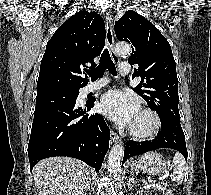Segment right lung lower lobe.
Masks as SVG:
<instances>
[{
  "label": "right lung lower lobe",
  "instance_id": "1",
  "mask_svg": "<svg viewBox=\"0 0 211 195\" xmlns=\"http://www.w3.org/2000/svg\"><path fill=\"white\" fill-rule=\"evenodd\" d=\"M80 88H60L36 98L28 144L30 170L40 160L53 156L80 159L96 171L101 168L109 148V128L100 114L87 113L94 107L95 98L77 107Z\"/></svg>",
  "mask_w": 211,
  "mask_h": 195
}]
</instances>
